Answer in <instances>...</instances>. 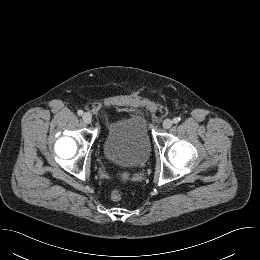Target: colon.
I'll use <instances>...</instances> for the list:
<instances>
[{
	"label": "colon",
	"instance_id": "5ec220e1",
	"mask_svg": "<svg viewBox=\"0 0 260 260\" xmlns=\"http://www.w3.org/2000/svg\"><path fill=\"white\" fill-rule=\"evenodd\" d=\"M124 178H125V176H124ZM122 197H123L122 192H121V190H119V189L113 190V191L111 192V194H110V198H111V200L114 201V202H119V201H121Z\"/></svg>",
	"mask_w": 260,
	"mask_h": 260
}]
</instances>
